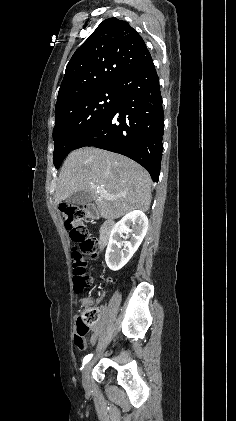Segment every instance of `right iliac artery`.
Masks as SVG:
<instances>
[{
  "mask_svg": "<svg viewBox=\"0 0 236 421\" xmlns=\"http://www.w3.org/2000/svg\"><path fill=\"white\" fill-rule=\"evenodd\" d=\"M93 354H88L87 356L84 357L83 359V365H85L87 362H89L92 358Z\"/></svg>",
  "mask_w": 236,
  "mask_h": 421,
  "instance_id": "1",
  "label": "right iliac artery"
}]
</instances>
